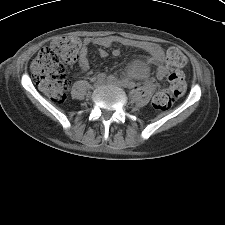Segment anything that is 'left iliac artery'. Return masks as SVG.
<instances>
[{"label":"left iliac artery","instance_id":"obj_1","mask_svg":"<svg viewBox=\"0 0 225 225\" xmlns=\"http://www.w3.org/2000/svg\"><path fill=\"white\" fill-rule=\"evenodd\" d=\"M122 84H123L125 87H130V83H129L126 79H123V80H122Z\"/></svg>","mask_w":225,"mask_h":225}]
</instances>
